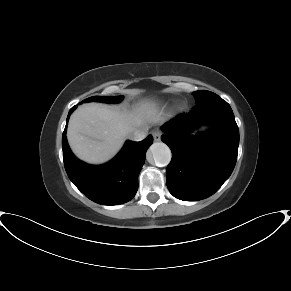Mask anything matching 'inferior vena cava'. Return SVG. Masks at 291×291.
I'll return each instance as SVG.
<instances>
[{
    "instance_id": "602c4592",
    "label": "inferior vena cava",
    "mask_w": 291,
    "mask_h": 291,
    "mask_svg": "<svg viewBox=\"0 0 291 291\" xmlns=\"http://www.w3.org/2000/svg\"><path fill=\"white\" fill-rule=\"evenodd\" d=\"M147 133H148L147 128L137 129L130 135V139L133 141H141L145 139V137L147 136Z\"/></svg>"
}]
</instances>
